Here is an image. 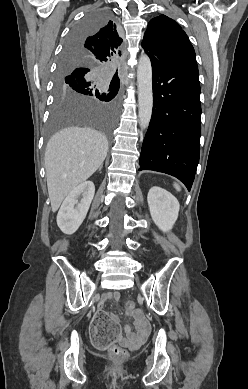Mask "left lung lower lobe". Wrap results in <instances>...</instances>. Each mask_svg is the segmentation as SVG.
I'll return each mask as SVG.
<instances>
[{
  "label": "left lung lower lobe",
  "mask_w": 248,
  "mask_h": 389,
  "mask_svg": "<svg viewBox=\"0 0 248 389\" xmlns=\"http://www.w3.org/2000/svg\"><path fill=\"white\" fill-rule=\"evenodd\" d=\"M147 54L152 64L153 111L142 145L139 170L172 175L190 190L200 154L197 62L194 58L162 61Z\"/></svg>",
  "instance_id": "1"
}]
</instances>
